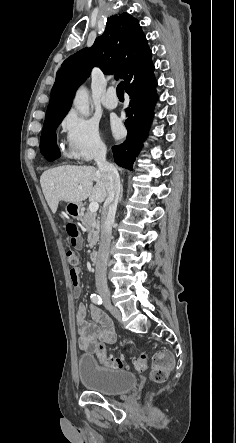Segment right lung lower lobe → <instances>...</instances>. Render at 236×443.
<instances>
[{"instance_id":"98d812e1","label":"right lung lower lobe","mask_w":236,"mask_h":443,"mask_svg":"<svg viewBox=\"0 0 236 443\" xmlns=\"http://www.w3.org/2000/svg\"><path fill=\"white\" fill-rule=\"evenodd\" d=\"M153 71L154 65L151 63L125 83V90L131 99L126 110L127 119L125 121L128 135L126 141L113 146L112 151L115 162L127 169L132 168L152 121L157 100L156 80ZM41 153L48 161H53L60 156L57 146Z\"/></svg>"}]
</instances>
